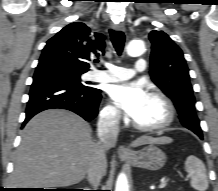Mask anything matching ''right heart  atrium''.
Segmentation results:
<instances>
[{
    "mask_svg": "<svg viewBox=\"0 0 218 191\" xmlns=\"http://www.w3.org/2000/svg\"><path fill=\"white\" fill-rule=\"evenodd\" d=\"M101 119L107 125L116 126L121 122L122 115L116 106L108 104L101 111Z\"/></svg>",
    "mask_w": 218,
    "mask_h": 191,
    "instance_id": "d8ad5b80",
    "label": "right heart atrium"
}]
</instances>
